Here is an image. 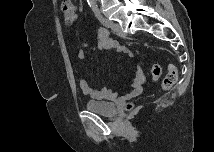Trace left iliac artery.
<instances>
[{
  "instance_id": "obj_1",
  "label": "left iliac artery",
  "mask_w": 215,
  "mask_h": 152,
  "mask_svg": "<svg viewBox=\"0 0 215 152\" xmlns=\"http://www.w3.org/2000/svg\"><path fill=\"white\" fill-rule=\"evenodd\" d=\"M93 11H94L96 17L99 19V21H100L105 27H110V21L107 20V19H105V18L102 16V14H101V12H100V10H99L98 8H94Z\"/></svg>"
}]
</instances>
